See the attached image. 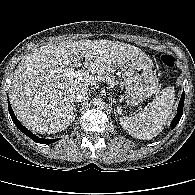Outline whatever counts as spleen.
<instances>
[{
    "instance_id": "1",
    "label": "spleen",
    "mask_w": 195,
    "mask_h": 195,
    "mask_svg": "<svg viewBox=\"0 0 195 195\" xmlns=\"http://www.w3.org/2000/svg\"><path fill=\"white\" fill-rule=\"evenodd\" d=\"M175 91L166 87L136 116H123L122 127L133 137L149 140L156 137L166 125L174 104Z\"/></svg>"
}]
</instances>
